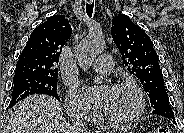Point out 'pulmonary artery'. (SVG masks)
Listing matches in <instances>:
<instances>
[{
    "label": "pulmonary artery",
    "mask_w": 184,
    "mask_h": 133,
    "mask_svg": "<svg viewBox=\"0 0 184 133\" xmlns=\"http://www.w3.org/2000/svg\"><path fill=\"white\" fill-rule=\"evenodd\" d=\"M95 72L108 73L113 69V58L109 54H102L92 65Z\"/></svg>",
    "instance_id": "pulmonary-artery-1"
}]
</instances>
